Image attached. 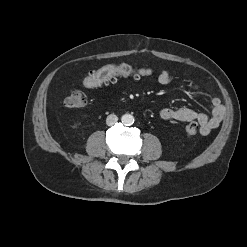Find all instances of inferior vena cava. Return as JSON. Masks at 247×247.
<instances>
[{"label":"inferior vena cava","instance_id":"inferior-vena-cava-1","mask_svg":"<svg viewBox=\"0 0 247 247\" xmlns=\"http://www.w3.org/2000/svg\"><path fill=\"white\" fill-rule=\"evenodd\" d=\"M117 121H118V117H117L115 114H110L109 116H107L106 124H107L108 126H112V125H114Z\"/></svg>","mask_w":247,"mask_h":247}]
</instances>
